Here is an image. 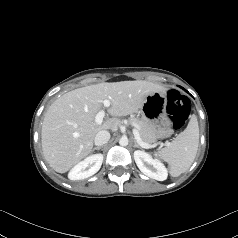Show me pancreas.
I'll return each instance as SVG.
<instances>
[{"instance_id":"pancreas-1","label":"pancreas","mask_w":238,"mask_h":238,"mask_svg":"<svg viewBox=\"0 0 238 238\" xmlns=\"http://www.w3.org/2000/svg\"><path fill=\"white\" fill-rule=\"evenodd\" d=\"M129 123L137 128L141 139L147 144L154 143L158 137L163 136L159 134L155 128L142 119L140 120L135 117H131L129 118Z\"/></svg>"}]
</instances>
